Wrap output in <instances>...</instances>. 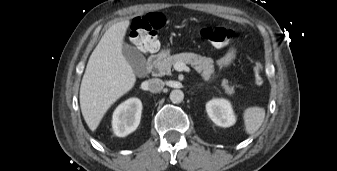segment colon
<instances>
[{
  "mask_svg": "<svg viewBox=\"0 0 337 171\" xmlns=\"http://www.w3.org/2000/svg\"><path fill=\"white\" fill-rule=\"evenodd\" d=\"M164 25V17L151 13L136 17L131 24V34L134 44L141 50H155L157 47V31ZM201 36L215 46H224L234 40L235 34L225 27L207 26L201 30ZM253 81L261 86L264 82L261 63L251 58Z\"/></svg>",
  "mask_w": 337,
  "mask_h": 171,
  "instance_id": "colon-1",
  "label": "colon"
}]
</instances>
